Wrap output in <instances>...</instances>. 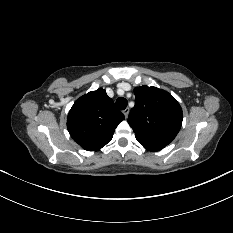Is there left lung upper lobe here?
I'll list each match as a JSON object with an SVG mask.
<instances>
[{"label": "left lung upper lobe", "mask_w": 233, "mask_h": 233, "mask_svg": "<svg viewBox=\"0 0 233 233\" xmlns=\"http://www.w3.org/2000/svg\"><path fill=\"white\" fill-rule=\"evenodd\" d=\"M134 93L135 106L128 116V123L137 141L144 147L170 144L183 120L177 100L167 91L156 87H136Z\"/></svg>", "instance_id": "1"}]
</instances>
